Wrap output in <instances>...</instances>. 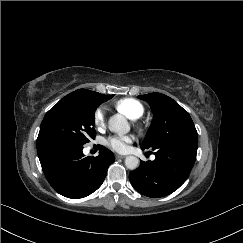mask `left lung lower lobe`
<instances>
[{
  "label": "left lung lower lobe",
  "instance_id": "obj_1",
  "mask_svg": "<svg viewBox=\"0 0 243 243\" xmlns=\"http://www.w3.org/2000/svg\"><path fill=\"white\" fill-rule=\"evenodd\" d=\"M198 136L169 140L155 149L154 161H141L129 179L139 193L159 198L177 190L189 176L196 160ZM141 149L144 150L141 146Z\"/></svg>",
  "mask_w": 243,
  "mask_h": 243
}]
</instances>
